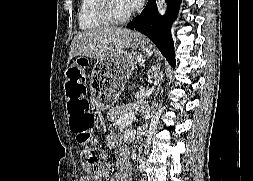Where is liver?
<instances>
[{"label":"liver","mask_w":253,"mask_h":181,"mask_svg":"<svg viewBox=\"0 0 253 181\" xmlns=\"http://www.w3.org/2000/svg\"><path fill=\"white\" fill-rule=\"evenodd\" d=\"M139 34L122 27H99L82 31L73 38L68 61L74 57L105 60L129 48Z\"/></svg>","instance_id":"1"}]
</instances>
